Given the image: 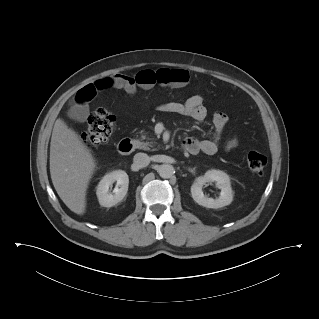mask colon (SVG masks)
Returning <instances> with one entry per match:
<instances>
[{"instance_id": "obj_1", "label": "colon", "mask_w": 319, "mask_h": 319, "mask_svg": "<svg viewBox=\"0 0 319 319\" xmlns=\"http://www.w3.org/2000/svg\"><path fill=\"white\" fill-rule=\"evenodd\" d=\"M114 129V115L105 109H99L88 118L86 130L82 134V140L87 147L105 144ZM247 164L253 173L260 174L267 164V157L261 152L252 150L247 155Z\"/></svg>"}]
</instances>
